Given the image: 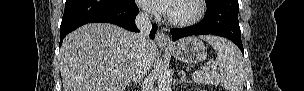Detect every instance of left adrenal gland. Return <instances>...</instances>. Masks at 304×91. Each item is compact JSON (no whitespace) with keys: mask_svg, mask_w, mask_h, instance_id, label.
Instances as JSON below:
<instances>
[{"mask_svg":"<svg viewBox=\"0 0 304 91\" xmlns=\"http://www.w3.org/2000/svg\"><path fill=\"white\" fill-rule=\"evenodd\" d=\"M180 75H181V77H180V80H179V84H182L184 82L189 83V80L186 78V74L183 70L180 72Z\"/></svg>","mask_w":304,"mask_h":91,"instance_id":"left-adrenal-gland-1","label":"left adrenal gland"}]
</instances>
